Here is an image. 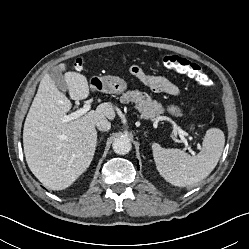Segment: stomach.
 Instances as JSON below:
<instances>
[{"mask_svg":"<svg viewBox=\"0 0 249 249\" xmlns=\"http://www.w3.org/2000/svg\"><path fill=\"white\" fill-rule=\"evenodd\" d=\"M94 79H96V83L98 84L94 86L108 94H120L127 89L126 81L116 76L107 75ZM167 110L174 116H182V111L178 106L170 105Z\"/></svg>","mask_w":249,"mask_h":249,"instance_id":"stomach-1","label":"stomach"}]
</instances>
